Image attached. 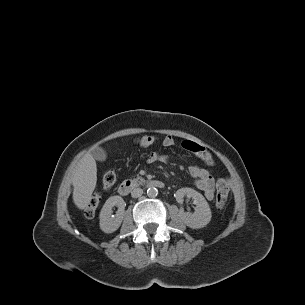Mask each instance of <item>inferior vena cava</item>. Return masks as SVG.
Wrapping results in <instances>:
<instances>
[{"label":"inferior vena cava","instance_id":"inferior-vena-cava-1","mask_svg":"<svg viewBox=\"0 0 305 305\" xmlns=\"http://www.w3.org/2000/svg\"><path fill=\"white\" fill-rule=\"evenodd\" d=\"M143 194V190L141 188H135L133 189V191L131 192V196L133 198H138Z\"/></svg>","mask_w":305,"mask_h":305}]
</instances>
